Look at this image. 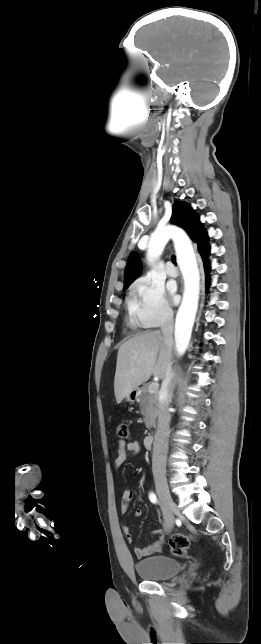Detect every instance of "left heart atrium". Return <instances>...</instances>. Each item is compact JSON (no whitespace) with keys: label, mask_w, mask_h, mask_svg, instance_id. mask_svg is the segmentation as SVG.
<instances>
[{"label":"left heart atrium","mask_w":261,"mask_h":644,"mask_svg":"<svg viewBox=\"0 0 261 644\" xmlns=\"http://www.w3.org/2000/svg\"><path fill=\"white\" fill-rule=\"evenodd\" d=\"M170 292H171V294H172V296H173V299L175 300V299H176V296H175V287H174V286H172V287L170 288Z\"/></svg>","instance_id":"left-heart-atrium-1"}]
</instances>
